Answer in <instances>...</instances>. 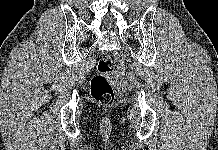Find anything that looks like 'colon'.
<instances>
[{
	"instance_id": "colon-1",
	"label": "colon",
	"mask_w": 218,
	"mask_h": 150,
	"mask_svg": "<svg viewBox=\"0 0 218 150\" xmlns=\"http://www.w3.org/2000/svg\"><path fill=\"white\" fill-rule=\"evenodd\" d=\"M114 69V63L110 57H102L97 63V73L92 77L90 93L96 102L101 105H111L114 101L113 87L108 76Z\"/></svg>"
}]
</instances>
